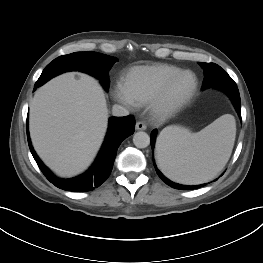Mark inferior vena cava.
<instances>
[{
    "label": "inferior vena cava",
    "mask_w": 263,
    "mask_h": 263,
    "mask_svg": "<svg viewBox=\"0 0 263 263\" xmlns=\"http://www.w3.org/2000/svg\"><path fill=\"white\" fill-rule=\"evenodd\" d=\"M112 114L117 117L127 116L129 111L125 107L115 104L112 107Z\"/></svg>",
    "instance_id": "1"
}]
</instances>
